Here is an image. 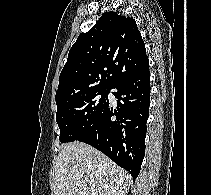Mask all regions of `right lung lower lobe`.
<instances>
[{"label": "right lung lower lobe", "mask_w": 211, "mask_h": 195, "mask_svg": "<svg viewBox=\"0 0 211 195\" xmlns=\"http://www.w3.org/2000/svg\"><path fill=\"white\" fill-rule=\"evenodd\" d=\"M117 109L110 105L77 140L103 152L135 180L145 154L146 122L150 105L149 66L119 79L111 89Z\"/></svg>", "instance_id": "right-lung-lower-lobe-1"}]
</instances>
